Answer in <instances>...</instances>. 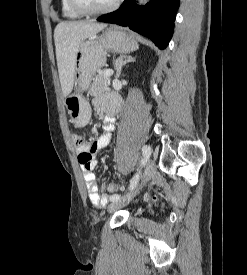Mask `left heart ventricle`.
Wrapping results in <instances>:
<instances>
[{"mask_svg":"<svg viewBox=\"0 0 247 275\" xmlns=\"http://www.w3.org/2000/svg\"><path fill=\"white\" fill-rule=\"evenodd\" d=\"M79 5L89 10H97L109 6L114 0H76Z\"/></svg>","mask_w":247,"mask_h":275,"instance_id":"1","label":"left heart ventricle"}]
</instances>
